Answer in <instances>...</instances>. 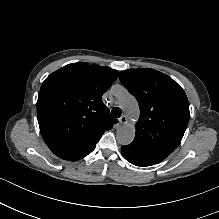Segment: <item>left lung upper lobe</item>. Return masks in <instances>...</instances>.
Listing matches in <instances>:
<instances>
[{
  "instance_id": "5c2ea615",
  "label": "left lung upper lobe",
  "mask_w": 219,
  "mask_h": 219,
  "mask_svg": "<svg viewBox=\"0 0 219 219\" xmlns=\"http://www.w3.org/2000/svg\"><path fill=\"white\" fill-rule=\"evenodd\" d=\"M119 78L140 107L135 139L126 147L159 163L182 140L190 118L187 96L176 81L154 69H128Z\"/></svg>"
}]
</instances>
